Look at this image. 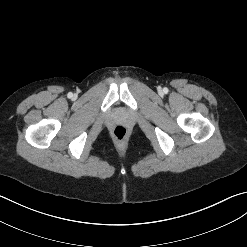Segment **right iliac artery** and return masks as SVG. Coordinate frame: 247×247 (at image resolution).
<instances>
[{
    "label": "right iliac artery",
    "instance_id": "82829eb1",
    "mask_svg": "<svg viewBox=\"0 0 247 247\" xmlns=\"http://www.w3.org/2000/svg\"><path fill=\"white\" fill-rule=\"evenodd\" d=\"M73 96V94L70 92L68 93V97L71 98Z\"/></svg>",
    "mask_w": 247,
    "mask_h": 247
}]
</instances>
